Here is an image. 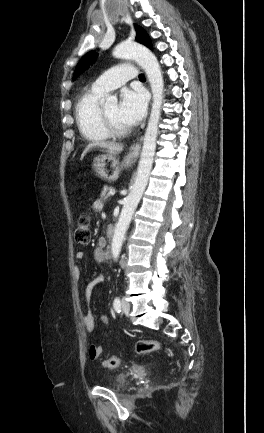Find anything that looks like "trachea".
I'll return each instance as SVG.
<instances>
[{
	"mask_svg": "<svg viewBox=\"0 0 264 433\" xmlns=\"http://www.w3.org/2000/svg\"><path fill=\"white\" fill-rule=\"evenodd\" d=\"M139 79H140V80H145V76H144V74H140V75H139Z\"/></svg>",
	"mask_w": 264,
	"mask_h": 433,
	"instance_id": "trachea-1",
	"label": "trachea"
}]
</instances>
